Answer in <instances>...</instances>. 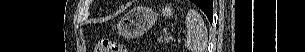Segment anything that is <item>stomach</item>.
Segmentation results:
<instances>
[{"label":"stomach","instance_id":"obj_1","mask_svg":"<svg viewBox=\"0 0 305 52\" xmlns=\"http://www.w3.org/2000/svg\"><path fill=\"white\" fill-rule=\"evenodd\" d=\"M159 15L171 17L173 9L166 6L157 13L147 7L133 8L121 18L118 23V30L124 37H138L153 26Z\"/></svg>","mask_w":305,"mask_h":52}]
</instances>
